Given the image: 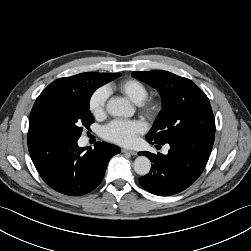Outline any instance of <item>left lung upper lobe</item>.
<instances>
[{
	"mask_svg": "<svg viewBox=\"0 0 251 251\" xmlns=\"http://www.w3.org/2000/svg\"><path fill=\"white\" fill-rule=\"evenodd\" d=\"M132 76L156 88L163 108L146 139L165 144L175 139L215 135V121L205 93L191 80L167 71H139Z\"/></svg>",
	"mask_w": 251,
	"mask_h": 251,
	"instance_id": "left-lung-upper-lobe-1",
	"label": "left lung upper lobe"
}]
</instances>
